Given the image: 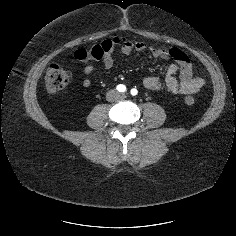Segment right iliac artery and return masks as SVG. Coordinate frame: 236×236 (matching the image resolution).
<instances>
[{
	"label": "right iliac artery",
	"instance_id": "right-iliac-artery-1",
	"mask_svg": "<svg viewBox=\"0 0 236 236\" xmlns=\"http://www.w3.org/2000/svg\"><path fill=\"white\" fill-rule=\"evenodd\" d=\"M116 89L119 91V92H125L126 91V86L123 85V84H119Z\"/></svg>",
	"mask_w": 236,
	"mask_h": 236
}]
</instances>
